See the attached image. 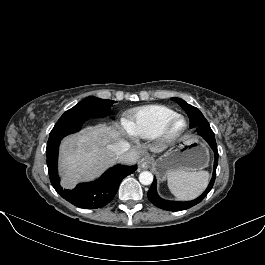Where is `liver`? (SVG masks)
<instances>
[{
    "mask_svg": "<svg viewBox=\"0 0 265 265\" xmlns=\"http://www.w3.org/2000/svg\"><path fill=\"white\" fill-rule=\"evenodd\" d=\"M118 138L116 129L107 124L88 126L81 132L65 138L60 145L61 185L72 189L78 182L92 180L113 165L115 159L107 147ZM151 150L160 152L162 149ZM138 157V152L131 150L125 160L134 163Z\"/></svg>",
    "mask_w": 265,
    "mask_h": 265,
    "instance_id": "obj_1",
    "label": "liver"
}]
</instances>
